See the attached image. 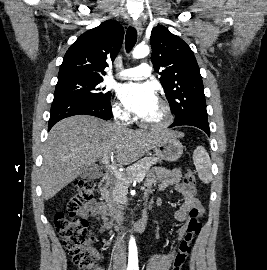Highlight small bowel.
Wrapping results in <instances>:
<instances>
[{"mask_svg":"<svg viewBox=\"0 0 267 270\" xmlns=\"http://www.w3.org/2000/svg\"><path fill=\"white\" fill-rule=\"evenodd\" d=\"M181 177L182 173L179 169L167 170L164 168H157L146 179V186L148 188L146 193L147 198L150 196V189L156 184L158 185L159 191H165L170 186H173L175 191L182 196L183 202L179 209L174 213L175 219L183 223L177 230L180 243L187 232L188 222L193 213H198L202 216L204 212L201 202L197 197L196 188L182 182ZM78 216L86 221L89 218L96 219L98 226L94 228V232L97 234H102L111 228V222L106 213L105 205L95 200L83 204L78 210ZM175 253L176 249L167 253L153 254L150 260L151 270H168Z\"/></svg>","mask_w":267,"mask_h":270,"instance_id":"small-bowel-1","label":"small bowel"}]
</instances>
